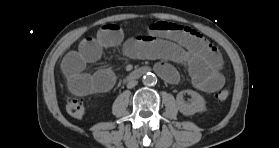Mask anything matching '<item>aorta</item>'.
I'll list each match as a JSON object with an SVG mask.
<instances>
[{"mask_svg":"<svg viewBox=\"0 0 279 148\" xmlns=\"http://www.w3.org/2000/svg\"><path fill=\"white\" fill-rule=\"evenodd\" d=\"M142 82L145 85H154L157 82V78L153 73H147L143 76Z\"/></svg>","mask_w":279,"mask_h":148,"instance_id":"1","label":"aorta"}]
</instances>
